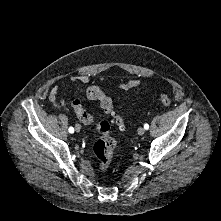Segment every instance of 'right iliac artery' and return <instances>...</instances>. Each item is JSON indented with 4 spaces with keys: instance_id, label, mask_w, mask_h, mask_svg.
I'll use <instances>...</instances> for the list:
<instances>
[{
    "instance_id": "obj_1",
    "label": "right iliac artery",
    "mask_w": 221,
    "mask_h": 221,
    "mask_svg": "<svg viewBox=\"0 0 221 221\" xmlns=\"http://www.w3.org/2000/svg\"><path fill=\"white\" fill-rule=\"evenodd\" d=\"M74 132V128L73 127H70L69 128V133H73Z\"/></svg>"
}]
</instances>
